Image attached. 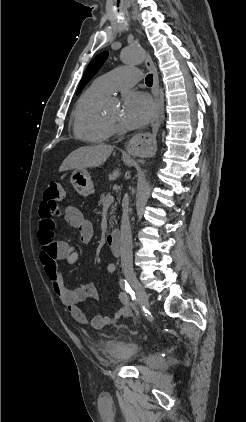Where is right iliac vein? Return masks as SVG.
<instances>
[{
    "instance_id": "1",
    "label": "right iliac vein",
    "mask_w": 246,
    "mask_h": 422,
    "mask_svg": "<svg viewBox=\"0 0 246 422\" xmlns=\"http://www.w3.org/2000/svg\"><path fill=\"white\" fill-rule=\"evenodd\" d=\"M125 276L127 280L129 281V283L131 284V286L136 291L138 304L141 307L148 309L149 301H148L147 293L145 289L142 287V285L139 283V281L137 280L135 274L132 272H127Z\"/></svg>"
}]
</instances>
